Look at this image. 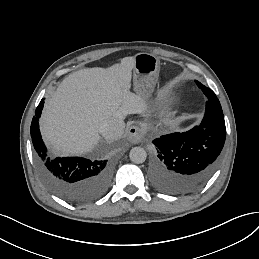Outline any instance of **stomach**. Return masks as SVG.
<instances>
[{"label": "stomach", "instance_id": "1", "mask_svg": "<svg viewBox=\"0 0 259 259\" xmlns=\"http://www.w3.org/2000/svg\"><path fill=\"white\" fill-rule=\"evenodd\" d=\"M136 63L134 66V72L145 76H155L160 71L159 59L149 53H139L135 56Z\"/></svg>", "mask_w": 259, "mask_h": 259}]
</instances>
